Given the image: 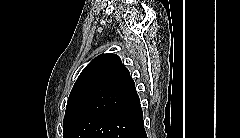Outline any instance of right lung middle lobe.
I'll list each match as a JSON object with an SVG mask.
<instances>
[{
    "mask_svg": "<svg viewBox=\"0 0 240 138\" xmlns=\"http://www.w3.org/2000/svg\"><path fill=\"white\" fill-rule=\"evenodd\" d=\"M108 114L82 112L64 118L63 138H86L90 131Z\"/></svg>",
    "mask_w": 240,
    "mask_h": 138,
    "instance_id": "dd1d6c3e",
    "label": "right lung middle lobe"
}]
</instances>
